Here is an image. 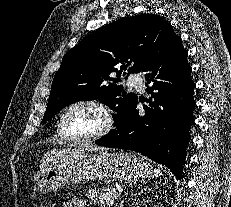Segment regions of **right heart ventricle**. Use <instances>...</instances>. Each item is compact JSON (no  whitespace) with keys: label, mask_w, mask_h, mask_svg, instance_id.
<instances>
[{"label":"right heart ventricle","mask_w":231,"mask_h":207,"mask_svg":"<svg viewBox=\"0 0 231 207\" xmlns=\"http://www.w3.org/2000/svg\"><path fill=\"white\" fill-rule=\"evenodd\" d=\"M56 137H57V139H58V141H59L60 143L65 144V143L68 142V141L62 136V134H61V132H60L59 125H58V127H57V129H56Z\"/></svg>","instance_id":"e07e8e85"}]
</instances>
